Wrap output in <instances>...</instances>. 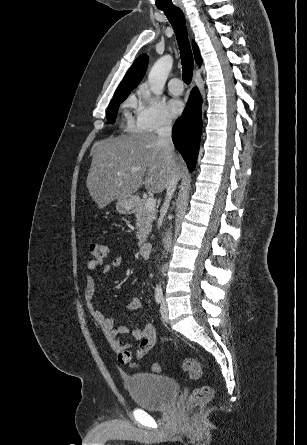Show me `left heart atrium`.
<instances>
[{"label":"left heart atrium","mask_w":307,"mask_h":445,"mask_svg":"<svg viewBox=\"0 0 307 445\" xmlns=\"http://www.w3.org/2000/svg\"><path fill=\"white\" fill-rule=\"evenodd\" d=\"M167 107L169 112L173 115V116H179L184 109V105L183 102L180 98H170L167 101Z\"/></svg>","instance_id":"39dd6f15"}]
</instances>
